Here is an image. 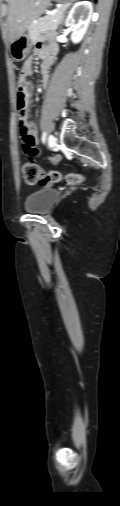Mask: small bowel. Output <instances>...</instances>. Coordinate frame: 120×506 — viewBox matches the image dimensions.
I'll list each match as a JSON object with an SVG mask.
<instances>
[{"mask_svg": "<svg viewBox=\"0 0 120 506\" xmlns=\"http://www.w3.org/2000/svg\"><path fill=\"white\" fill-rule=\"evenodd\" d=\"M57 47L55 44L46 45L42 41H39L36 45L34 54L41 59V85L43 88L47 87L49 83L48 72L54 63L56 58ZM32 74V58H28L20 71L18 84L22 85L29 91V97L27 100V106L24 110L23 115L20 117V133L22 135H31L35 141L38 140V129L34 122L31 121L29 116L28 108L31 104L30 99V84L27 81V78ZM29 154V153H28ZM30 155V154H29ZM36 156V155H35Z\"/></svg>", "mask_w": 120, "mask_h": 506, "instance_id": "small-bowel-1", "label": "small bowel"}]
</instances>
